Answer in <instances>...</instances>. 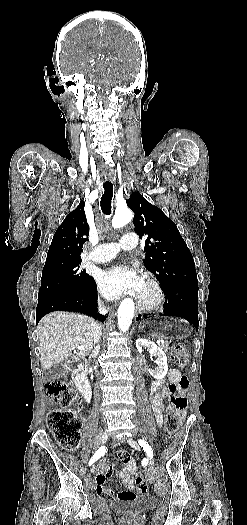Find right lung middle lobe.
I'll return each mask as SVG.
<instances>
[{
    "label": "right lung middle lobe",
    "mask_w": 247,
    "mask_h": 525,
    "mask_svg": "<svg viewBox=\"0 0 247 525\" xmlns=\"http://www.w3.org/2000/svg\"><path fill=\"white\" fill-rule=\"evenodd\" d=\"M79 265L53 268L42 272L38 298L53 293L83 290L92 280Z\"/></svg>",
    "instance_id": "obj_1"
}]
</instances>
